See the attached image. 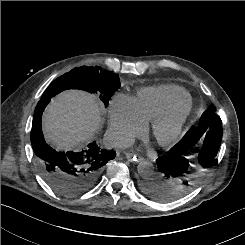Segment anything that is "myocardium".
Instances as JSON below:
<instances>
[{"instance_id":"f54148a6","label":"myocardium","mask_w":245,"mask_h":245,"mask_svg":"<svg viewBox=\"0 0 245 245\" xmlns=\"http://www.w3.org/2000/svg\"><path fill=\"white\" fill-rule=\"evenodd\" d=\"M191 112L192 103L188 101L155 118L151 124V134L157 143L161 146H167L175 142Z\"/></svg>"}]
</instances>
